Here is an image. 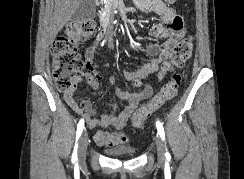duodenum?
<instances>
[{"instance_id": "410a0bca", "label": "duodenum", "mask_w": 244, "mask_h": 179, "mask_svg": "<svg viewBox=\"0 0 244 179\" xmlns=\"http://www.w3.org/2000/svg\"><path fill=\"white\" fill-rule=\"evenodd\" d=\"M96 3H98L99 6L103 5V0H95ZM105 35V33H101L99 35V38L102 39V37Z\"/></svg>"}]
</instances>
